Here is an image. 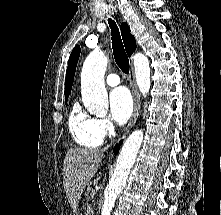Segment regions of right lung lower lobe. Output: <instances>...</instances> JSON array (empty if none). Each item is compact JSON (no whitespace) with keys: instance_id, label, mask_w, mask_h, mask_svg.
<instances>
[{"instance_id":"obj_1","label":"right lung lower lobe","mask_w":221,"mask_h":215,"mask_svg":"<svg viewBox=\"0 0 221 215\" xmlns=\"http://www.w3.org/2000/svg\"><path fill=\"white\" fill-rule=\"evenodd\" d=\"M120 144H121V142L119 144H116V146L114 147V149H113L114 154H117L119 152Z\"/></svg>"}]
</instances>
